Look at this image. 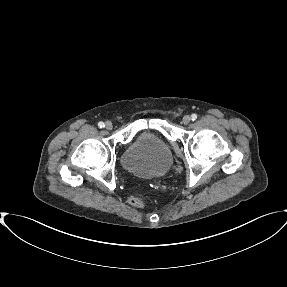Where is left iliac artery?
<instances>
[{
    "label": "left iliac artery",
    "mask_w": 287,
    "mask_h": 287,
    "mask_svg": "<svg viewBox=\"0 0 287 287\" xmlns=\"http://www.w3.org/2000/svg\"><path fill=\"white\" fill-rule=\"evenodd\" d=\"M191 119L194 121V120H196L197 119V115L196 114H192L191 115Z\"/></svg>",
    "instance_id": "1"
}]
</instances>
